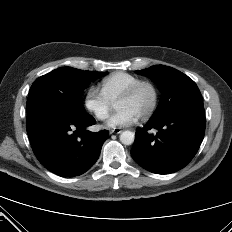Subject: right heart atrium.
<instances>
[{
    "instance_id": "1",
    "label": "right heart atrium",
    "mask_w": 232,
    "mask_h": 232,
    "mask_svg": "<svg viewBox=\"0 0 232 232\" xmlns=\"http://www.w3.org/2000/svg\"><path fill=\"white\" fill-rule=\"evenodd\" d=\"M83 106L97 120H105L112 109V103L94 87L86 90Z\"/></svg>"
}]
</instances>
